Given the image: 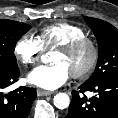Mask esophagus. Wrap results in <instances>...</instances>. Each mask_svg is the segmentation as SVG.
<instances>
[{
	"label": "esophagus",
	"instance_id": "34e87169",
	"mask_svg": "<svg viewBox=\"0 0 118 118\" xmlns=\"http://www.w3.org/2000/svg\"><path fill=\"white\" fill-rule=\"evenodd\" d=\"M37 94L38 96H48V95L53 94V92L38 89Z\"/></svg>",
	"mask_w": 118,
	"mask_h": 118
}]
</instances>
